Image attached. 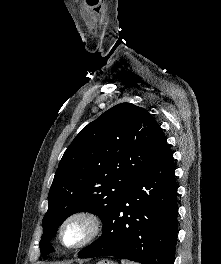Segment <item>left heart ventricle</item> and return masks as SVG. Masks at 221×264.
<instances>
[{"mask_svg": "<svg viewBox=\"0 0 221 264\" xmlns=\"http://www.w3.org/2000/svg\"><path fill=\"white\" fill-rule=\"evenodd\" d=\"M88 233V226L83 221L69 223L63 232V240L68 245H73L83 240Z\"/></svg>", "mask_w": 221, "mask_h": 264, "instance_id": "b2bd125f", "label": "left heart ventricle"}]
</instances>
